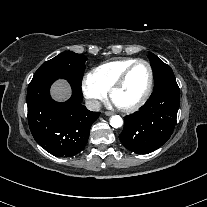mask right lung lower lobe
Here are the masks:
<instances>
[{"label":"right lung lower lobe","mask_w":207,"mask_h":207,"mask_svg":"<svg viewBox=\"0 0 207 207\" xmlns=\"http://www.w3.org/2000/svg\"><path fill=\"white\" fill-rule=\"evenodd\" d=\"M57 79L41 77L28 86V122L35 141L59 157H71L85 147L91 125L99 112H91L82 102L81 87L70 83L72 97L63 103L50 96V86Z\"/></svg>","instance_id":"1"}]
</instances>
